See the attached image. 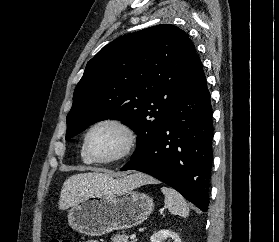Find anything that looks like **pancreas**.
<instances>
[{"instance_id":"1","label":"pancreas","mask_w":279,"mask_h":242,"mask_svg":"<svg viewBox=\"0 0 279 242\" xmlns=\"http://www.w3.org/2000/svg\"><path fill=\"white\" fill-rule=\"evenodd\" d=\"M112 242H129V237L125 234H116L113 237H111ZM134 242V241H131Z\"/></svg>"}]
</instances>
